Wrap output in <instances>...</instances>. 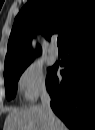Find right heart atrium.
I'll return each mask as SVG.
<instances>
[{"mask_svg":"<svg viewBox=\"0 0 95 130\" xmlns=\"http://www.w3.org/2000/svg\"><path fill=\"white\" fill-rule=\"evenodd\" d=\"M18 85L27 101H34L47 90L44 69L41 64L32 62L21 72Z\"/></svg>","mask_w":95,"mask_h":130,"instance_id":"d8ad5b80","label":"right heart atrium"}]
</instances>
